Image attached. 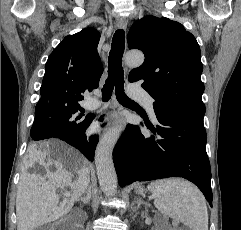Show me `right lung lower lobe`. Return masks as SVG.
I'll list each match as a JSON object with an SVG mask.
<instances>
[{"label": "right lung lower lobe", "instance_id": "right-lung-lower-lobe-1", "mask_svg": "<svg viewBox=\"0 0 241 230\" xmlns=\"http://www.w3.org/2000/svg\"><path fill=\"white\" fill-rule=\"evenodd\" d=\"M37 112H35V117ZM93 118H89L84 125L77 131L74 132H56V131H48L45 127H41V125L34 120L33 126L31 128V135L37 136L41 134L39 137L42 139L48 138H59L71 146L77 148L82 154L86 156L87 159L93 161L94 152L96 149V145L98 143V138L92 136L88 138L85 134L86 129L91 124Z\"/></svg>", "mask_w": 241, "mask_h": 230}]
</instances>
